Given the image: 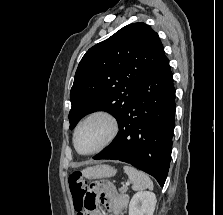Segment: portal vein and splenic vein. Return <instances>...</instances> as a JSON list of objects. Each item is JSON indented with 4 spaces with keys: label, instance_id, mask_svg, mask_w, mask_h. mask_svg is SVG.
Masks as SVG:
<instances>
[{
    "label": "portal vein and splenic vein",
    "instance_id": "portal-vein-and-splenic-vein-1",
    "mask_svg": "<svg viewBox=\"0 0 223 215\" xmlns=\"http://www.w3.org/2000/svg\"><path fill=\"white\" fill-rule=\"evenodd\" d=\"M128 184H130V179H125V183L123 184V187L127 188Z\"/></svg>",
    "mask_w": 223,
    "mask_h": 215
}]
</instances>
